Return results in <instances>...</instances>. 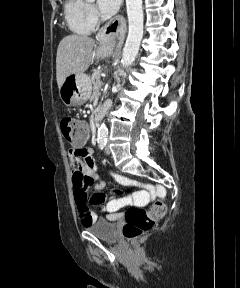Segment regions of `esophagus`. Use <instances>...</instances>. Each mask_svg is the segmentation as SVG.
Masks as SVG:
<instances>
[{
  "mask_svg": "<svg viewBox=\"0 0 240 288\" xmlns=\"http://www.w3.org/2000/svg\"><path fill=\"white\" fill-rule=\"evenodd\" d=\"M125 30L126 24L124 17L122 15H117L100 29L97 39L101 43L115 46V38L118 37L120 39V45L124 40Z\"/></svg>",
  "mask_w": 240,
  "mask_h": 288,
  "instance_id": "obj_1",
  "label": "esophagus"
}]
</instances>
